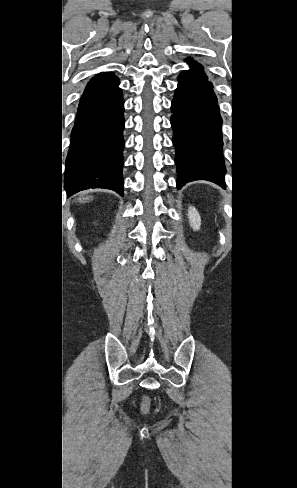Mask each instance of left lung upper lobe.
I'll return each mask as SVG.
<instances>
[{"label": "left lung upper lobe", "mask_w": 297, "mask_h": 488, "mask_svg": "<svg viewBox=\"0 0 297 488\" xmlns=\"http://www.w3.org/2000/svg\"><path fill=\"white\" fill-rule=\"evenodd\" d=\"M186 62L191 66V69L190 70H187V72H190V73L198 76L199 78H201L203 81L211 84V82H208V78L205 75L203 69L200 67L199 64L194 63L193 60H192V58L186 59Z\"/></svg>", "instance_id": "left-lung-upper-lobe-1"}]
</instances>
